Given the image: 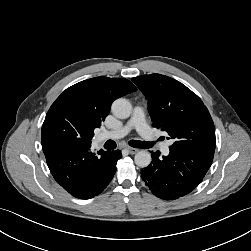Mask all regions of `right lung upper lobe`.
<instances>
[{"label":"right lung upper lobe","mask_w":251,"mask_h":251,"mask_svg":"<svg viewBox=\"0 0 251 251\" xmlns=\"http://www.w3.org/2000/svg\"><path fill=\"white\" fill-rule=\"evenodd\" d=\"M124 78L95 77L79 82L62 92L47 114L62 112L78 120L92 135L108 115L112 102L136 91Z\"/></svg>","instance_id":"cb5924a9"}]
</instances>
